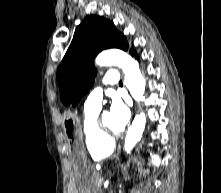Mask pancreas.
Returning a JSON list of instances; mask_svg holds the SVG:
<instances>
[{
  "instance_id": "obj_1",
  "label": "pancreas",
  "mask_w": 221,
  "mask_h": 193,
  "mask_svg": "<svg viewBox=\"0 0 221 193\" xmlns=\"http://www.w3.org/2000/svg\"><path fill=\"white\" fill-rule=\"evenodd\" d=\"M101 177H100V174L99 173H97L96 174V177H95V184H96V189L97 190H100L101 189V186L99 185V179H100Z\"/></svg>"
}]
</instances>
